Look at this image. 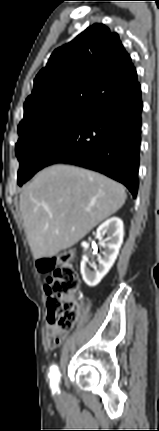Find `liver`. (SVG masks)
I'll return each mask as SVG.
<instances>
[{"instance_id":"6515ba94","label":"liver","mask_w":159,"mask_h":431,"mask_svg":"<svg viewBox=\"0 0 159 431\" xmlns=\"http://www.w3.org/2000/svg\"><path fill=\"white\" fill-rule=\"evenodd\" d=\"M125 201L124 187L99 173L62 164L40 171L19 202L33 257L75 245Z\"/></svg>"}]
</instances>
